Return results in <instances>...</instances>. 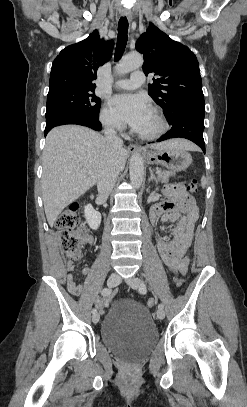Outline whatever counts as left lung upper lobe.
Here are the masks:
<instances>
[{"mask_svg":"<svg viewBox=\"0 0 247 407\" xmlns=\"http://www.w3.org/2000/svg\"><path fill=\"white\" fill-rule=\"evenodd\" d=\"M136 49L144 55V73L158 75L148 85V94L163 108L168 122L185 109L205 110L199 64L189 48L150 23Z\"/></svg>","mask_w":247,"mask_h":407,"instance_id":"1","label":"left lung upper lobe"}]
</instances>
